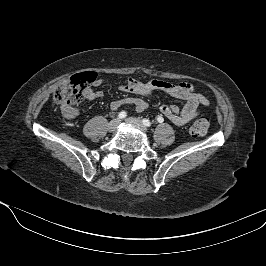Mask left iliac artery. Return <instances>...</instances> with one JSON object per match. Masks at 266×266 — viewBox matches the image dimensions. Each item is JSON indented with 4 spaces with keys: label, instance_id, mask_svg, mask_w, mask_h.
Masks as SVG:
<instances>
[{
    "label": "left iliac artery",
    "instance_id": "obj_1",
    "mask_svg": "<svg viewBox=\"0 0 266 266\" xmlns=\"http://www.w3.org/2000/svg\"><path fill=\"white\" fill-rule=\"evenodd\" d=\"M159 123L163 122V118L162 117H158L157 118ZM143 125H145L146 127H150L151 126V122L148 119H143L142 120Z\"/></svg>",
    "mask_w": 266,
    "mask_h": 266
}]
</instances>
